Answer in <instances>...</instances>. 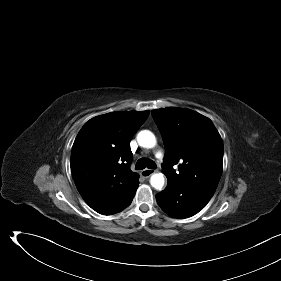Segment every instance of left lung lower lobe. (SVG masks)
Wrapping results in <instances>:
<instances>
[{
	"instance_id": "0a47b994",
	"label": "left lung lower lobe",
	"mask_w": 281,
	"mask_h": 281,
	"mask_svg": "<svg viewBox=\"0 0 281 281\" xmlns=\"http://www.w3.org/2000/svg\"><path fill=\"white\" fill-rule=\"evenodd\" d=\"M212 196L191 185L168 182L165 190L156 195V200L165 213L183 219L199 212Z\"/></svg>"
}]
</instances>
